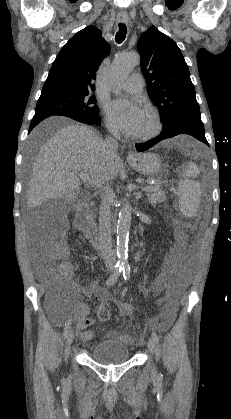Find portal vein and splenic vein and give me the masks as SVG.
Returning <instances> with one entry per match:
<instances>
[{"label": "portal vein and splenic vein", "instance_id": "1", "mask_svg": "<svg viewBox=\"0 0 231 419\" xmlns=\"http://www.w3.org/2000/svg\"><path fill=\"white\" fill-rule=\"evenodd\" d=\"M78 176L81 178V180H83L84 182H89V178L86 176V175H84V174H82V173H78ZM151 190H154V187H152V186H145V187H143V191H151Z\"/></svg>", "mask_w": 231, "mask_h": 419}]
</instances>
